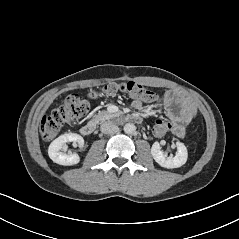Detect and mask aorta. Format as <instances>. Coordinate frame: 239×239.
Segmentation results:
<instances>
[{
  "label": "aorta",
  "mask_w": 239,
  "mask_h": 239,
  "mask_svg": "<svg viewBox=\"0 0 239 239\" xmlns=\"http://www.w3.org/2000/svg\"><path fill=\"white\" fill-rule=\"evenodd\" d=\"M134 131H135V126L133 124L127 123L124 126V132L126 134H132V133H134Z\"/></svg>",
  "instance_id": "1"
}]
</instances>
